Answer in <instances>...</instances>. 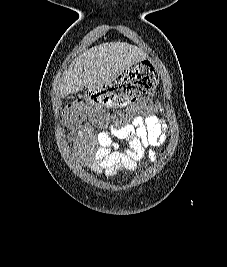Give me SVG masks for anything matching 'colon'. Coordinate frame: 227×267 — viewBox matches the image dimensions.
Segmentation results:
<instances>
[{
	"mask_svg": "<svg viewBox=\"0 0 227 267\" xmlns=\"http://www.w3.org/2000/svg\"><path fill=\"white\" fill-rule=\"evenodd\" d=\"M99 105V104H93ZM132 110V111H131ZM137 119V116L160 115L159 104L153 101H146L142 105H129V110L117 111V114H107L106 110H93L89 104H84L83 100L71 103L65 111V117L70 126L76 127L85 120H90L95 125L104 124V119ZM115 124V121H111ZM120 124V121H117ZM129 124V121H126Z\"/></svg>",
	"mask_w": 227,
	"mask_h": 267,
	"instance_id": "5ec220e1",
	"label": "colon"
}]
</instances>
